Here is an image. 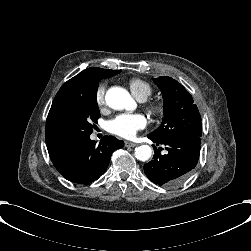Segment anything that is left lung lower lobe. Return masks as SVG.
Wrapping results in <instances>:
<instances>
[{
	"label": "left lung lower lobe",
	"mask_w": 251,
	"mask_h": 251,
	"mask_svg": "<svg viewBox=\"0 0 251 251\" xmlns=\"http://www.w3.org/2000/svg\"><path fill=\"white\" fill-rule=\"evenodd\" d=\"M156 145L164 144L168 153L161 155L155 146L153 160L144 165L146 176L159 186L172 187L183 182L195 168L199 159V136H184L161 141L148 135Z\"/></svg>",
	"instance_id": "0a47b994"
}]
</instances>
